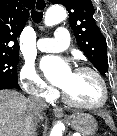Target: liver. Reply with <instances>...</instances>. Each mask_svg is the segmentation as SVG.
<instances>
[{
    "label": "liver",
    "instance_id": "6515ba94",
    "mask_svg": "<svg viewBox=\"0 0 117 136\" xmlns=\"http://www.w3.org/2000/svg\"><path fill=\"white\" fill-rule=\"evenodd\" d=\"M38 119L43 117L29 99L15 90H0V136H29Z\"/></svg>",
    "mask_w": 117,
    "mask_h": 136
}]
</instances>
